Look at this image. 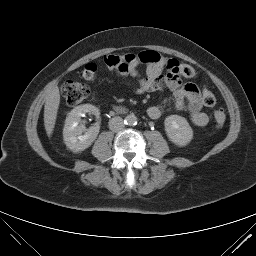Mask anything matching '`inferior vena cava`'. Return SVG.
<instances>
[{
  "instance_id": "1",
  "label": "inferior vena cava",
  "mask_w": 256,
  "mask_h": 256,
  "mask_svg": "<svg viewBox=\"0 0 256 256\" xmlns=\"http://www.w3.org/2000/svg\"><path fill=\"white\" fill-rule=\"evenodd\" d=\"M124 121L121 117H113L112 119L109 120V129L117 132L120 131L124 128Z\"/></svg>"
}]
</instances>
